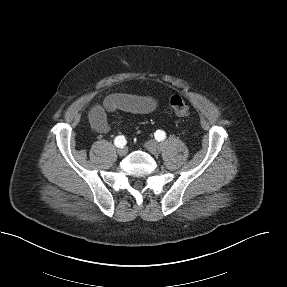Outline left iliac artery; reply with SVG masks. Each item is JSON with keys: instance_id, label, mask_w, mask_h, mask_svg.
Here are the masks:
<instances>
[{"instance_id": "44dca946", "label": "left iliac artery", "mask_w": 287, "mask_h": 287, "mask_svg": "<svg viewBox=\"0 0 287 287\" xmlns=\"http://www.w3.org/2000/svg\"><path fill=\"white\" fill-rule=\"evenodd\" d=\"M155 138L158 141H162V140H164L166 138V133L163 130H157L155 132Z\"/></svg>"}]
</instances>
